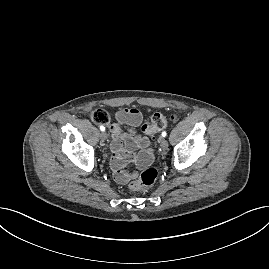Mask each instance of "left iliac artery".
I'll use <instances>...</instances> for the list:
<instances>
[{"instance_id":"44dca946","label":"left iliac artery","mask_w":269,"mask_h":269,"mask_svg":"<svg viewBox=\"0 0 269 269\" xmlns=\"http://www.w3.org/2000/svg\"><path fill=\"white\" fill-rule=\"evenodd\" d=\"M167 135V133L164 131L162 132V136L165 137Z\"/></svg>"}]
</instances>
